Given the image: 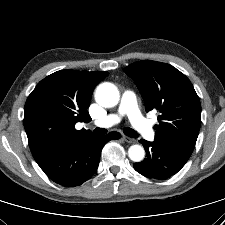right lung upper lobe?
Listing matches in <instances>:
<instances>
[{
	"label": "right lung upper lobe",
	"mask_w": 225,
	"mask_h": 225,
	"mask_svg": "<svg viewBox=\"0 0 225 225\" xmlns=\"http://www.w3.org/2000/svg\"><path fill=\"white\" fill-rule=\"evenodd\" d=\"M108 72L61 70L41 80L24 107V128L33 157L63 139L92 134L76 130L77 122H89L87 111L95 86Z\"/></svg>",
	"instance_id": "1"
}]
</instances>
